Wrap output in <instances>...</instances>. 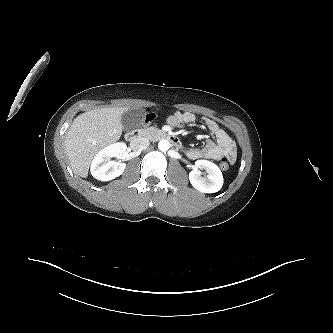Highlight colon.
<instances>
[{"mask_svg":"<svg viewBox=\"0 0 333 333\" xmlns=\"http://www.w3.org/2000/svg\"><path fill=\"white\" fill-rule=\"evenodd\" d=\"M156 118V113L153 112L152 110H147L146 111V115L144 117V123L145 124H149L151 123L152 121H154ZM229 160L228 158L226 157H223L220 161V168L223 170V171H227L229 169Z\"/></svg>","mask_w":333,"mask_h":333,"instance_id":"1","label":"colon"}]
</instances>
